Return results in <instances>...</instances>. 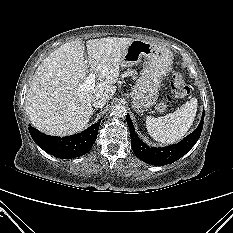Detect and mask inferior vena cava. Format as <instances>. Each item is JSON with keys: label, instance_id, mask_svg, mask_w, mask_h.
<instances>
[{"label": "inferior vena cava", "instance_id": "602c4592", "mask_svg": "<svg viewBox=\"0 0 233 233\" xmlns=\"http://www.w3.org/2000/svg\"><path fill=\"white\" fill-rule=\"evenodd\" d=\"M106 102L107 101L104 97L97 96V97L93 98L92 105L95 108H102L103 106H105Z\"/></svg>", "mask_w": 233, "mask_h": 233}]
</instances>
